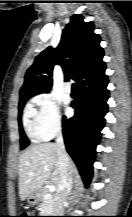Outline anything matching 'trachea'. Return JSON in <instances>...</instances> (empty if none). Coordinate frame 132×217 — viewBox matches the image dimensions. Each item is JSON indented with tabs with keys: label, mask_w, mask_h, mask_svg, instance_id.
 <instances>
[{
	"label": "trachea",
	"mask_w": 132,
	"mask_h": 217,
	"mask_svg": "<svg viewBox=\"0 0 132 217\" xmlns=\"http://www.w3.org/2000/svg\"><path fill=\"white\" fill-rule=\"evenodd\" d=\"M72 88H73V89H77V84H76V83H73Z\"/></svg>",
	"instance_id": "1"
}]
</instances>
